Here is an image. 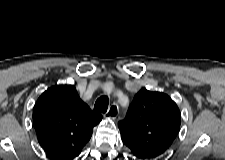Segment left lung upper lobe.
<instances>
[{"mask_svg": "<svg viewBox=\"0 0 225 160\" xmlns=\"http://www.w3.org/2000/svg\"><path fill=\"white\" fill-rule=\"evenodd\" d=\"M122 141L139 159L160 157L180 129V111L166 94L141 89L124 120L118 123Z\"/></svg>", "mask_w": 225, "mask_h": 160, "instance_id": "5c2ea615", "label": "left lung upper lobe"}]
</instances>
